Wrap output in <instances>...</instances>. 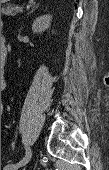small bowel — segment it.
I'll use <instances>...</instances> for the list:
<instances>
[{
	"mask_svg": "<svg viewBox=\"0 0 109 170\" xmlns=\"http://www.w3.org/2000/svg\"><path fill=\"white\" fill-rule=\"evenodd\" d=\"M1 41H2V43H5V39H2Z\"/></svg>",
	"mask_w": 109,
	"mask_h": 170,
	"instance_id": "c3829d8e",
	"label": "small bowel"
}]
</instances>
